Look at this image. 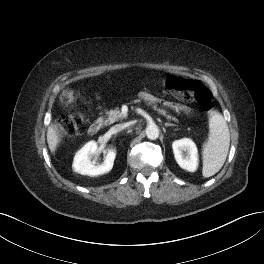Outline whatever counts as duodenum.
Segmentation results:
<instances>
[{"mask_svg": "<svg viewBox=\"0 0 264 264\" xmlns=\"http://www.w3.org/2000/svg\"><path fill=\"white\" fill-rule=\"evenodd\" d=\"M102 126V120L98 119L94 121L88 128L89 135H96Z\"/></svg>", "mask_w": 264, "mask_h": 264, "instance_id": "1", "label": "duodenum"}]
</instances>
